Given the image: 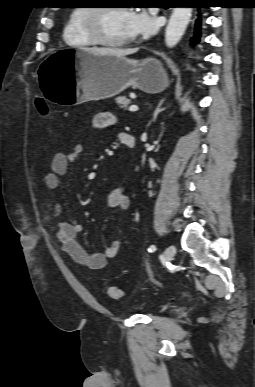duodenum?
Here are the masks:
<instances>
[{
  "label": "duodenum",
  "instance_id": "410a0bca",
  "mask_svg": "<svg viewBox=\"0 0 255 387\" xmlns=\"http://www.w3.org/2000/svg\"><path fill=\"white\" fill-rule=\"evenodd\" d=\"M121 142L129 148H133L135 146V138L133 135L129 133H121L120 134Z\"/></svg>",
  "mask_w": 255,
  "mask_h": 387
}]
</instances>
